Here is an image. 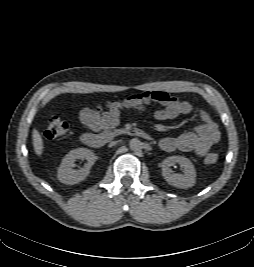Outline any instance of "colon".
Segmentation results:
<instances>
[{
  "mask_svg": "<svg viewBox=\"0 0 254 267\" xmlns=\"http://www.w3.org/2000/svg\"><path fill=\"white\" fill-rule=\"evenodd\" d=\"M69 125L61 118L54 116L49 120V123L44 131V137L48 140L59 138L67 133ZM218 155L216 153H208L204 157V164L213 165L218 162Z\"/></svg>",
  "mask_w": 254,
  "mask_h": 267,
  "instance_id": "obj_1",
  "label": "colon"
}]
</instances>
